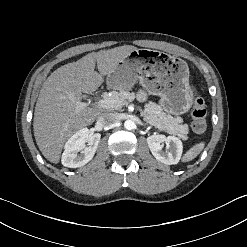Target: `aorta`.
Returning a JSON list of instances; mask_svg holds the SVG:
<instances>
[{
  "label": "aorta",
  "instance_id": "aorta-1",
  "mask_svg": "<svg viewBox=\"0 0 247 247\" xmlns=\"http://www.w3.org/2000/svg\"><path fill=\"white\" fill-rule=\"evenodd\" d=\"M124 127H125L127 130H132V129L135 128V123H134V121H132V120H126V121L124 122Z\"/></svg>",
  "mask_w": 247,
  "mask_h": 247
}]
</instances>
